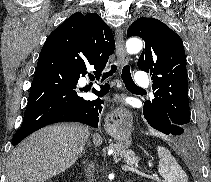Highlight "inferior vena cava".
<instances>
[{
  "label": "inferior vena cava",
  "instance_id": "obj_1",
  "mask_svg": "<svg viewBox=\"0 0 211 182\" xmlns=\"http://www.w3.org/2000/svg\"><path fill=\"white\" fill-rule=\"evenodd\" d=\"M90 167H91V168H93V166H92V165H91ZM88 170H89V167H88Z\"/></svg>",
  "mask_w": 211,
  "mask_h": 182
}]
</instances>
